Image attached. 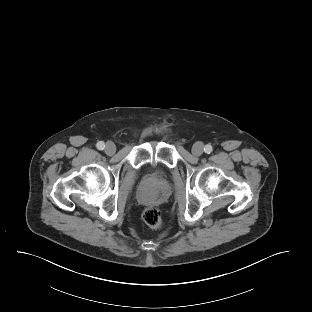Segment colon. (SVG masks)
Returning a JSON list of instances; mask_svg holds the SVG:
<instances>
[{"label": "colon", "instance_id": "obj_1", "mask_svg": "<svg viewBox=\"0 0 312 312\" xmlns=\"http://www.w3.org/2000/svg\"><path fill=\"white\" fill-rule=\"evenodd\" d=\"M144 222L153 229H159L163 225L162 215L158 208L148 207L143 212Z\"/></svg>", "mask_w": 312, "mask_h": 312}]
</instances>
